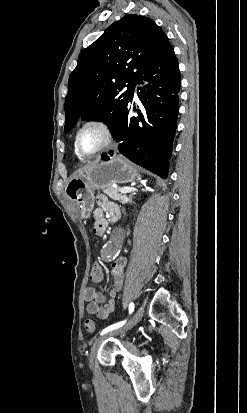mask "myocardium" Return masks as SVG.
Listing matches in <instances>:
<instances>
[{"mask_svg": "<svg viewBox=\"0 0 247 413\" xmlns=\"http://www.w3.org/2000/svg\"><path fill=\"white\" fill-rule=\"evenodd\" d=\"M87 128H99V129H103L105 132V140L103 142V144L96 149L95 151L91 152V153H86L82 150L81 146H80V135L81 133L87 129ZM116 139V133L114 128L108 124L107 122L103 121V120H99V119H92L87 121L86 123H84L76 132L75 135V139H74V144H75V149L77 151V153L84 159H91L94 158L96 156H98L99 154H101L103 151H105L107 148H109L111 145L114 144Z\"/></svg>", "mask_w": 247, "mask_h": 413, "instance_id": "obj_1", "label": "myocardium"}]
</instances>
